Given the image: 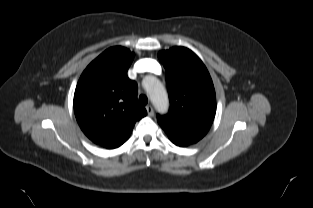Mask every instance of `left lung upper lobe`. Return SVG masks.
Here are the masks:
<instances>
[{
  "instance_id": "left-lung-upper-lobe-1",
  "label": "left lung upper lobe",
  "mask_w": 313,
  "mask_h": 208,
  "mask_svg": "<svg viewBox=\"0 0 313 208\" xmlns=\"http://www.w3.org/2000/svg\"><path fill=\"white\" fill-rule=\"evenodd\" d=\"M170 98V110L157 115L170 140L185 147L202 139L216 112L212 79L200 58L185 47L160 51Z\"/></svg>"
}]
</instances>
